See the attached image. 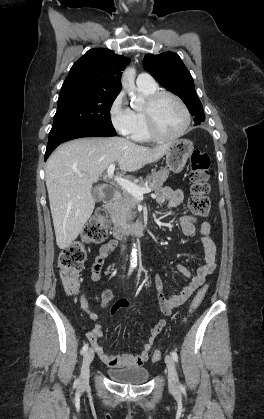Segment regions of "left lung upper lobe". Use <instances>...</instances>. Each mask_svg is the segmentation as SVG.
<instances>
[{
	"label": "left lung upper lobe",
	"instance_id": "obj_1",
	"mask_svg": "<svg viewBox=\"0 0 264 419\" xmlns=\"http://www.w3.org/2000/svg\"><path fill=\"white\" fill-rule=\"evenodd\" d=\"M143 67L163 87L184 101L191 115L195 117L194 120L200 116L205 118L192 76L176 53L147 54L143 59Z\"/></svg>",
	"mask_w": 264,
	"mask_h": 419
}]
</instances>
